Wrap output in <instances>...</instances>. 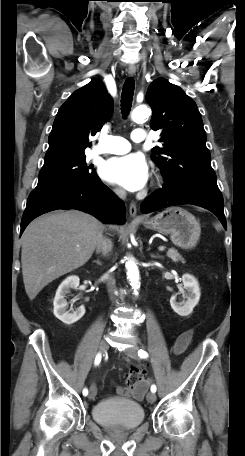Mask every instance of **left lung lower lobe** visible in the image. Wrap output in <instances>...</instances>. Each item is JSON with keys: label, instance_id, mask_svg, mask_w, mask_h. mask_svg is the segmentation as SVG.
Segmentation results:
<instances>
[{"label": "left lung lower lobe", "instance_id": "1", "mask_svg": "<svg viewBox=\"0 0 245 456\" xmlns=\"http://www.w3.org/2000/svg\"><path fill=\"white\" fill-rule=\"evenodd\" d=\"M193 204L214 213L226 228L224 201L217 187L208 185H184L166 182L162 189L157 190L141 204L142 213H150L174 205Z\"/></svg>", "mask_w": 245, "mask_h": 456}]
</instances>
